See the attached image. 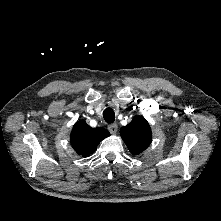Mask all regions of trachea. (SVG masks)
Masks as SVG:
<instances>
[{"label": "trachea", "mask_w": 221, "mask_h": 221, "mask_svg": "<svg viewBox=\"0 0 221 221\" xmlns=\"http://www.w3.org/2000/svg\"><path fill=\"white\" fill-rule=\"evenodd\" d=\"M103 118L107 123H113L115 121V113L112 108L108 107L103 111Z\"/></svg>", "instance_id": "trachea-1"}]
</instances>
